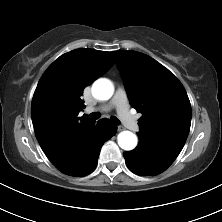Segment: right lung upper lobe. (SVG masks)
I'll use <instances>...</instances> for the list:
<instances>
[{
	"label": "right lung upper lobe",
	"instance_id": "1",
	"mask_svg": "<svg viewBox=\"0 0 222 222\" xmlns=\"http://www.w3.org/2000/svg\"><path fill=\"white\" fill-rule=\"evenodd\" d=\"M114 65L107 51L72 50L57 58L44 72L35 90L31 116L36 138L58 168L72 166L83 150L89 127L83 90Z\"/></svg>",
	"mask_w": 222,
	"mask_h": 222
}]
</instances>
